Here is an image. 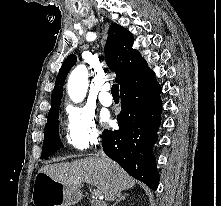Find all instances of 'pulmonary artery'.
<instances>
[{"mask_svg":"<svg viewBox=\"0 0 221 206\" xmlns=\"http://www.w3.org/2000/svg\"><path fill=\"white\" fill-rule=\"evenodd\" d=\"M111 86L110 84L106 83L102 86L100 95H99V100L101 104L104 106H110L113 103V98L111 94L109 93Z\"/></svg>","mask_w":221,"mask_h":206,"instance_id":"1","label":"pulmonary artery"}]
</instances>
